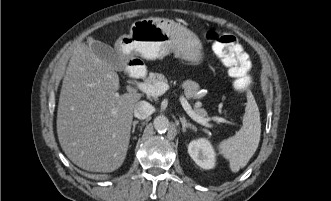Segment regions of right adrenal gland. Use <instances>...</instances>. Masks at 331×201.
I'll use <instances>...</instances> for the list:
<instances>
[{
	"instance_id": "1",
	"label": "right adrenal gland",
	"mask_w": 331,
	"mask_h": 201,
	"mask_svg": "<svg viewBox=\"0 0 331 201\" xmlns=\"http://www.w3.org/2000/svg\"><path fill=\"white\" fill-rule=\"evenodd\" d=\"M138 123H139L138 120L133 121V123H132V133L135 132V127H136V125H137Z\"/></svg>"
}]
</instances>
